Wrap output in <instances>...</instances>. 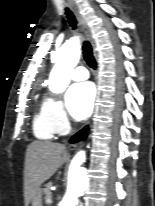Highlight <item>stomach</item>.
Here are the masks:
<instances>
[{
	"instance_id": "stomach-1",
	"label": "stomach",
	"mask_w": 155,
	"mask_h": 206,
	"mask_svg": "<svg viewBox=\"0 0 155 206\" xmlns=\"http://www.w3.org/2000/svg\"><path fill=\"white\" fill-rule=\"evenodd\" d=\"M32 206H42V192L39 188L31 199Z\"/></svg>"
}]
</instances>
